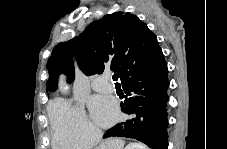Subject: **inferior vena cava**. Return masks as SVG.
Segmentation results:
<instances>
[{"label": "inferior vena cava", "mask_w": 227, "mask_h": 149, "mask_svg": "<svg viewBox=\"0 0 227 149\" xmlns=\"http://www.w3.org/2000/svg\"><path fill=\"white\" fill-rule=\"evenodd\" d=\"M93 137H94L95 140H100L101 137H102V132L101 131H96L94 133V136Z\"/></svg>", "instance_id": "602c4592"}]
</instances>
